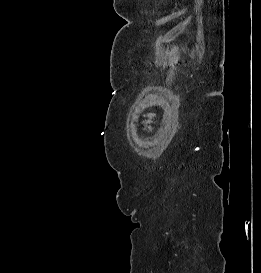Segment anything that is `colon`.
Instances as JSON below:
<instances>
[{
  "label": "colon",
  "mask_w": 261,
  "mask_h": 273,
  "mask_svg": "<svg viewBox=\"0 0 261 273\" xmlns=\"http://www.w3.org/2000/svg\"><path fill=\"white\" fill-rule=\"evenodd\" d=\"M152 119H153L152 115H148V116L146 117V119H145V121H144V125H143V129H144V130L148 129L149 125H150L151 122H152Z\"/></svg>",
  "instance_id": "1"
}]
</instances>
